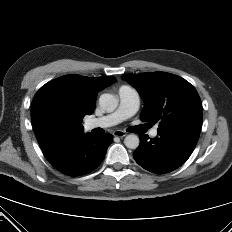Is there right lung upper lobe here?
Instances as JSON below:
<instances>
[{"mask_svg": "<svg viewBox=\"0 0 232 232\" xmlns=\"http://www.w3.org/2000/svg\"><path fill=\"white\" fill-rule=\"evenodd\" d=\"M116 81L112 76L66 75L43 85L35 94L31 107L38 143L54 134L83 133L82 118L93 113L98 92ZM52 109L62 115L59 122H52L49 118Z\"/></svg>", "mask_w": 232, "mask_h": 232, "instance_id": "right-lung-upper-lobe-1", "label": "right lung upper lobe"}]
</instances>
